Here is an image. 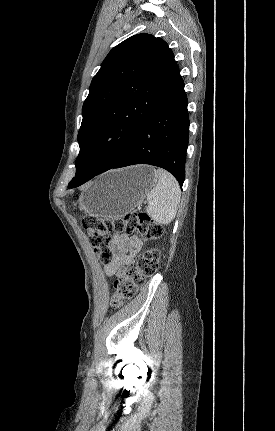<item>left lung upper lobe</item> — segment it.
Returning <instances> with one entry per match:
<instances>
[{"mask_svg": "<svg viewBox=\"0 0 275 431\" xmlns=\"http://www.w3.org/2000/svg\"><path fill=\"white\" fill-rule=\"evenodd\" d=\"M167 43L134 35L106 56L82 107L76 174L115 163L169 91L178 72Z\"/></svg>", "mask_w": 275, "mask_h": 431, "instance_id": "1", "label": "left lung upper lobe"}]
</instances>
